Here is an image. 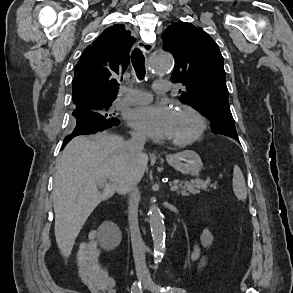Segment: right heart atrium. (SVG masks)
<instances>
[{"instance_id":"obj_1","label":"right heart atrium","mask_w":293,"mask_h":293,"mask_svg":"<svg viewBox=\"0 0 293 293\" xmlns=\"http://www.w3.org/2000/svg\"><path fill=\"white\" fill-rule=\"evenodd\" d=\"M133 135L136 136V137H141V135L137 132H133Z\"/></svg>"}]
</instances>
